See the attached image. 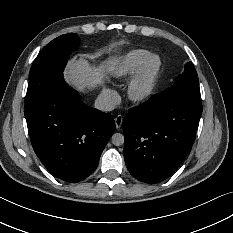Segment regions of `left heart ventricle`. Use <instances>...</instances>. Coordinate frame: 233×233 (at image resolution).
<instances>
[{"instance_id": "b2bd125f", "label": "left heart ventricle", "mask_w": 233, "mask_h": 233, "mask_svg": "<svg viewBox=\"0 0 233 233\" xmlns=\"http://www.w3.org/2000/svg\"><path fill=\"white\" fill-rule=\"evenodd\" d=\"M159 67V60L158 59H155L153 61V64L148 72V75L146 77V82H145V86L148 84L149 80L151 79V77L153 76V74L157 71Z\"/></svg>"}]
</instances>
